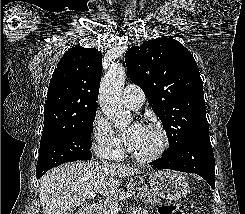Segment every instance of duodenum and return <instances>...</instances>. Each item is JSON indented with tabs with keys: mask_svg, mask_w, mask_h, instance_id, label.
Returning <instances> with one entry per match:
<instances>
[{
	"mask_svg": "<svg viewBox=\"0 0 245 214\" xmlns=\"http://www.w3.org/2000/svg\"><path fill=\"white\" fill-rule=\"evenodd\" d=\"M99 206L98 204H92L81 208L78 214H98Z\"/></svg>",
	"mask_w": 245,
	"mask_h": 214,
	"instance_id": "duodenum-1",
	"label": "duodenum"
}]
</instances>
